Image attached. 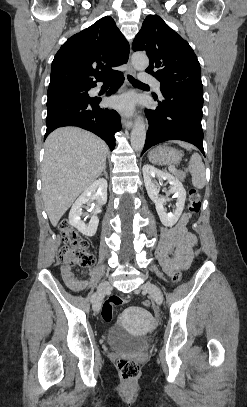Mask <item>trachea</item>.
<instances>
[{
	"label": "trachea",
	"mask_w": 247,
	"mask_h": 407,
	"mask_svg": "<svg viewBox=\"0 0 247 407\" xmlns=\"http://www.w3.org/2000/svg\"><path fill=\"white\" fill-rule=\"evenodd\" d=\"M127 77H128V80H129L132 84H134V85H146V84H144V83L139 82L138 80H136V79H135L133 76H131V75H128Z\"/></svg>",
	"instance_id": "obj_1"
}]
</instances>
